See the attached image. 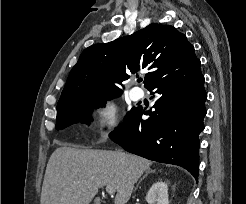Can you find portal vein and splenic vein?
<instances>
[{"label": "portal vein and splenic vein", "instance_id": "portal-vein-and-splenic-vein-1", "mask_svg": "<svg viewBox=\"0 0 246 204\" xmlns=\"http://www.w3.org/2000/svg\"><path fill=\"white\" fill-rule=\"evenodd\" d=\"M106 191H107L109 194L115 193L114 187H113V186H109V185L106 186Z\"/></svg>", "mask_w": 246, "mask_h": 204}]
</instances>
